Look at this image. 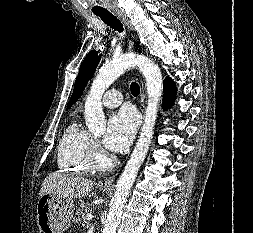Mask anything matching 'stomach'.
Segmentation results:
<instances>
[{
  "label": "stomach",
  "instance_id": "1",
  "mask_svg": "<svg viewBox=\"0 0 253 233\" xmlns=\"http://www.w3.org/2000/svg\"><path fill=\"white\" fill-rule=\"evenodd\" d=\"M73 200L58 194L47 193L37 204V223L40 233H63L72 220Z\"/></svg>",
  "mask_w": 253,
  "mask_h": 233
}]
</instances>
